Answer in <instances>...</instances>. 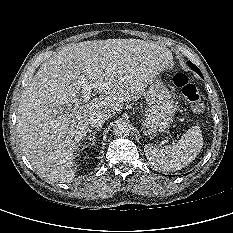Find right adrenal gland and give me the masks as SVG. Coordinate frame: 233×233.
Returning <instances> with one entry per match:
<instances>
[{
  "label": "right adrenal gland",
  "mask_w": 233,
  "mask_h": 233,
  "mask_svg": "<svg viewBox=\"0 0 233 233\" xmlns=\"http://www.w3.org/2000/svg\"><path fill=\"white\" fill-rule=\"evenodd\" d=\"M101 128H98L96 130H94L89 136H88V140L90 141V144L91 145H94L95 144V141H96V138H95V134L100 131Z\"/></svg>",
  "instance_id": "2a0ac1e0"
}]
</instances>
